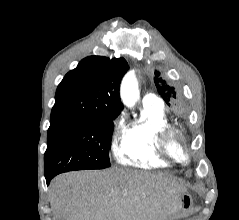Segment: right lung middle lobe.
<instances>
[{
	"label": "right lung middle lobe",
	"instance_id": "obj_1",
	"mask_svg": "<svg viewBox=\"0 0 239 220\" xmlns=\"http://www.w3.org/2000/svg\"><path fill=\"white\" fill-rule=\"evenodd\" d=\"M110 116H64L51 118L44 154L45 177L84 169L110 167L113 119Z\"/></svg>",
	"mask_w": 239,
	"mask_h": 220
}]
</instances>
